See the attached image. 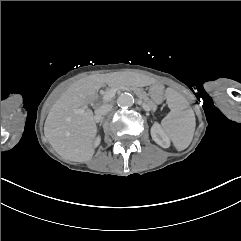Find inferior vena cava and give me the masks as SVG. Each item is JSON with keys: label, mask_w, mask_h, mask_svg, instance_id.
Segmentation results:
<instances>
[{"label": "inferior vena cava", "mask_w": 241, "mask_h": 241, "mask_svg": "<svg viewBox=\"0 0 241 241\" xmlns=\"http://www.w3.org/2000/svg\"><path fill=\"white\" fill-rule=\"evenodd\" d=\"M112 109L111 104H104L95 111V122L99 123L102 120V116L110 112Z\"/></svg>", "instance_id": "1"}]
</instances>
